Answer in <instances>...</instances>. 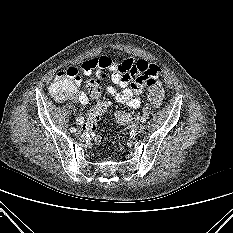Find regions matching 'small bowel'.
<instances>
[{"label":"small bowel","instance_id":"c3829d8e","mask_svg":"<svg viewBox=\"0 0 233 233\" xmlns=\"http://www.w3.org/2000/svg\"><path fill=\"white\" fill-rule=\"evenodd\" d=\"M105 69L111 72L113 83L121 88V91H118L108 85L106 86L107 93L129 109H136L140 106V95L148 80L158 78L161 73L157 65L144 60L134 61L131 58H125L116 62L112 57L103 55L83 62L79 68L74 66L67 68L65 72L71 76L74 90L66 100L79 102L82 106L86 105L89 102V96L80 89V72L87 76L94 74L99 81L104 82L107 78ZM83 113L84 109L81 107L77 117L79 123L84 122Z\"/></svg>","mask_w":233,"mask_h":233}]
</instances>
